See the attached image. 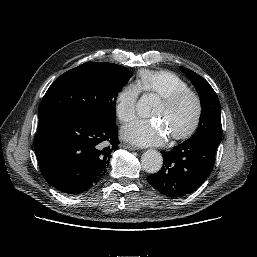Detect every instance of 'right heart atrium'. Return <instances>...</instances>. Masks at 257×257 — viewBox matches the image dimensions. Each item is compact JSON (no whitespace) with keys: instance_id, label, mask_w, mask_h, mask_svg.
<instances>
[{"instance_id":"d8ad5b80","label":"right heart atrium","mask_w":257,"mask_h":257,"mask_svg":"<svg viewBox=\"0 0 257 257\" xmlns=\"http://www.w3.org/2000/svg\"><path fill=\"white\" fill-rule=\"evenodd\" d=\"M139 94L140 89L134 83L126 84L117 94L115 111L121 122L127 123L134 119Z\"/></svg>"}]
</instances>
